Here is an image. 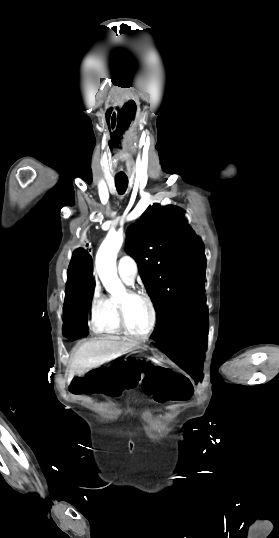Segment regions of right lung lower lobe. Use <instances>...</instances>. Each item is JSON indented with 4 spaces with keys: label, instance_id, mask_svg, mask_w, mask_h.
Listing matches in <instances>:
<instances>
[{
    "label": "right lung lower lobe",
    "instance_id": "right-lung-lower-lobe-1",
    "mask_svg": "<svg viewBox=\"0 0 279 538\" xmlns=\"http://www.w3.org/2000/svg\"><path fill=\"white\" fill-rule=\"evenodd\" d=\"M93 262L84 249H77L68 268L63 335L76 339L88 334L86 308L93 298Z\"/></svg>",
    "mask_w": 279,
    "mask_h": 538
}]
</instances>
